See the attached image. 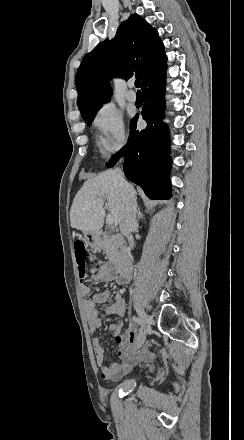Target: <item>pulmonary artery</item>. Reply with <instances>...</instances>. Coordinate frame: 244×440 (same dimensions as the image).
<instances>
[{
    "mask_svg": "<svg viewBox=\"0 0 244 440\" xmlns=\"http://www.w3.org/2000/svg\"><path fill=\"white\" fill-rule=\"evenodd\" d=\"M126 99H127L129 102H134V101L136 100V95H135V93H134L133 91H129V92L126 94Z\"/></svg>",
    "mask_w": 244,
    "mask_h": 440,
    "instance_id": "1",
    "label": "pulmonary artery"
}]
</instances>
